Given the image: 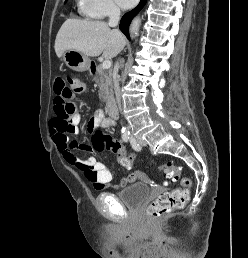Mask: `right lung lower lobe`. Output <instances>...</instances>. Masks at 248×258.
<instances>
[{"instance_id":"1","label":"right lung lower lobe","mask_w":248,"mask_h":258,"mask_svg":"<svg viewBox=\"0 0 248 258\" xmlns=\"http://www.w3.org/2000/svg\"><path fill=\"white\" fill-rule=\"evenodd\" d=\"M146 0H141L139 5L130 12H127L121 19L120 30L129 38L128 28L133 17L142 9L145 5Z\"/></svg>"}]
</instances>
